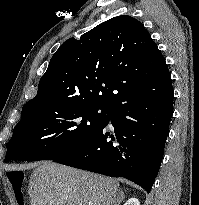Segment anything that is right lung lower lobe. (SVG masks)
Returning <instances> with one entry per match:
<instances>
[{"mask_svg": "<svg viewBox=\"0 0 199 205\" xmlns=\"http://www.w3.org/2000/svg\"><path fill=\"white\" fill-rule=\"evenodd\" d=\"M114 103L106 124L87 142L54 162L111 177H124L150 192L163 158L173 114L170 72ZM114 127L111 134L107 126Z\"/></svg>", "mask_w": 199, "mask_h": 205, "instance_id": "obj_1", "label": "right lung lower lobe"}]
</instances>
